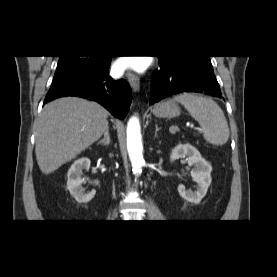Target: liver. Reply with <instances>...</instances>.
Here are the masks:
<instances>
[{
	"label": "liver",
	"mask_w": 277,
	"mask_h": 277,
	"mask_svg": "<svg viewBox=\"0 0 277 277\" xmlns=\"http://www.w3.org/2000/svg\"><path fill=\"white\" fill-rule=\"evenodd\" d=\"M101 105L77 97L45 105L36 126L35 153L42 173L50 174L96 142L108 128Z\"/></svg>",
	"instance_id": "liver-1"
}]
</instances>
